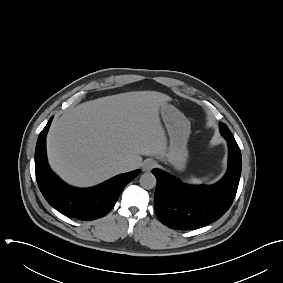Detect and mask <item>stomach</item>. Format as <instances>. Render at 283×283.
Wrapping results in <instances>:
<instances>
[{
	"instance_id": "1",
	"label": "stomach",
	"mask_w": 283,
	"mask_h": 283,
	"mask_svg": "<svg viewBox=\"0 0 283 283\" xmlns=\"http://www.w3.org/2000/svg\"><path fill=\"white\" fill-rule=\"evenodd\" d=\"M161 116L169 136L167 160L177 170L185 168L188 159L187 142L190 122L177 108L170 104L161 107Z\"/></svg>"
}]
</instances>
